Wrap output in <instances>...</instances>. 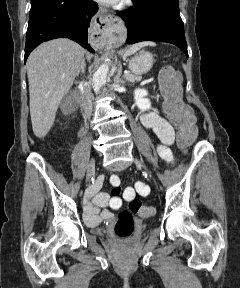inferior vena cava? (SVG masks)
<instances>
[{"label":"inferior vena cava","mask_w":240,"mask_h":288,"mask_svg":"<svg viewBox=\"0 0 240 288\" xmlns=\"http://www.w3.org/2000/svg\"><path fill=\"white\" fill-rule=\"evenodd\" d=\"M81 106L85 116L89 117L92 113V93L89 85L82 86Z\"/></svg>","instance_id":"inferior-vena-cava-1"}]
</instances>
